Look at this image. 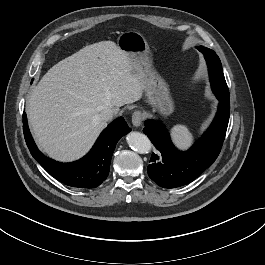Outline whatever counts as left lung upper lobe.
<instances>
[{
  "mask_svg": "<svg viewBox=\"0 0 265 265\" xmlns=\"http://www.w3.org/2000/svg\"><path fill=\"white\" fill-rule=\"evenodd\" d=\"M197 49L204 55L207 65L209 66V75L211 81V87L216 95H221L226 99H229V90L223 75L222 66L219 57L216 53L203 46L197 47ZM212 66V68H211Z\"/></svg>",
  "mask_w": 265,
  "mask_h": 265,
  "instance_id": "1",
  "label": "left lung upper lobe"
}]
</instances>
